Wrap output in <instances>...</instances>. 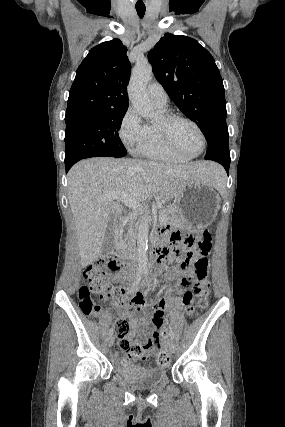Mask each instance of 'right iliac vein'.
I'll list each match as a JSON object with an SVG mask.
<instances>
[{
    "label": "right iliac vein",
    "instance_id": "right-iliac-vein-1",
    "mask_svg": "<svg viewBox=\"0 0 285 427\" xmlns=\"http://www.w3.org/2000/svg\"><path fill=\"white\" fill-rule=\"evenodd\" d=\"M113 343H114V337H113V335H109L107 338V345L109 347H111L113 345Z\"/></svg>",
    "mask_w": 285,
    "mask_h": 427
}]
</instances>
